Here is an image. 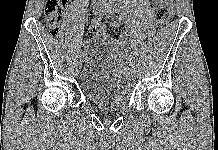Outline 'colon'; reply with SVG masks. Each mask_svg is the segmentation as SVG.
<instances>
[{
    "mask_svg": "<svg viewBox=\"0 0 218 150\" xmlns=\"http://www.w3.org/2000/svg\"><path fill=\"white\" fill-rule=\"evenodd\" d=\"M68 4V0H46L44 16L47 27L53 35H57L60 30L63 13ZM171 19V11L167 7H161L156 15L157 24L161 27L166 26ZM93 31L101 35H107V28L102 25H94Z\"/></svg>",
    "mask_w": 218,
    "mask_h": 150,
    "instance_id": "1",
    "label": "colon"
}]
</instances>
